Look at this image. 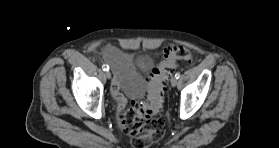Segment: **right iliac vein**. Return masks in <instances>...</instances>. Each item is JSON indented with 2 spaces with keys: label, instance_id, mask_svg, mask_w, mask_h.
<instances>
[{
  "label": "right iliac vein",
  "instance_id": "1",
  "mask_svg": "<svg viewBox=\"0 0 279 148\" xmlns=\"http://www.w3.org/2000/svg\"><path fill=\"white\" fill-rule=\"evenodd\" d=\"M105 76H106L108 79H110V78H111V73H110V71H106V72H105Z\"/></svg>",
  "mask_w": 279,
  "mask_h": 148
}]
</instances>
